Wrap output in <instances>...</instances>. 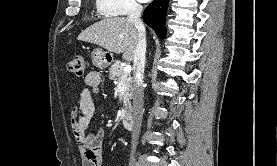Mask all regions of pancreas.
Returning a JSON list of instances; mask_svg holds the SVG:
<instances>
[{"mask_svg":"<svg viewBox=\"0 0 277 166\" xmlns=\"http://www.w3.org/2000/svg\"><path fill=\"white\" fill-rule=\"evenodd\" d=\"M109 78L115 82H119L122 78L125 79V91L122 97L124 103L122 113L126 115L131 111L132 78L130 72H125L120 62H115L109 69Z\"/></svg>","mask_w":277,"mask_h":166,"instance_id":"cf45deb5","label":"pancreas"}]
</instances>
